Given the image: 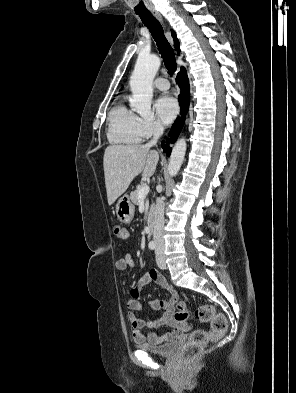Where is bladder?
Wrapping results in <instances>:
<instances>
[{
  "label": "bladder",
  "mask_w": 296,
  "mask_h": 393,
  "mask_svg": "<svg viewBox=\"0 0 296 393\" xmlns=\"http://www.w3.org/2000/svg\"><path fill=\"white\" fill-rule=\"evenodd\" d=\"M176 346L177 341L175 340H171L160 347H155L146 343L137 344L138 349L159 356H170L174 352Z\"/></svg>",
  "instance_id": "1"
}]
</instances>
